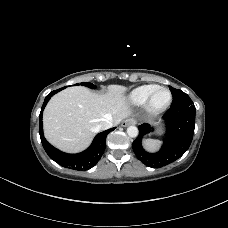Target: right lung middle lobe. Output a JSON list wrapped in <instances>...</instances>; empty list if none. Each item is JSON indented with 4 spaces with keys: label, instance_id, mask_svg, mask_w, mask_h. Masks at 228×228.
<instances>
[{
    "label": "right lung middle lobe",
    "instance_id": "right-lung-middle-lobe-1",
    "mask_svg": "<svg viewBox=\"0 0 228 228\" xmlns=\"http://www.w3.org/2000/svg\"><path fill=\"white\" fill-rule=\"evenodd\" d=\"M81 85L88 86L90 88H95V85L94 84H91V83H88V82H83V83H81ZM63 88H66V87H63Z\"/></svg>",
    "mask_w": 228,
    "mask_h": 228
}]
</instances>
